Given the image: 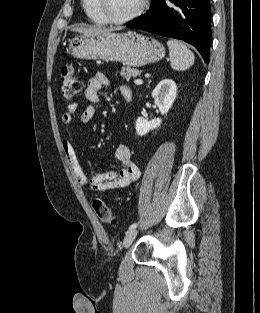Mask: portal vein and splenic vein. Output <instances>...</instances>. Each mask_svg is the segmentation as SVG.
Here are the masks:
<instances>
[{
    "label": "portal vein and splenic vein",
    "mask_w": 260,
    "mask_h": 313,
    "mask_svg": "<svg viewBox=\"0 0 260 313\" xmlns=\"http://www.w3.org/2000/svg\"><path fill=\"white\" fill-rule=\"evenodd\" d=\"M134 83L137 84V85H141V84L143 83V80H141V79H136V80L134 81Z\"/></svg>",
    "instance_id": "obj_1"
}]
</instances>
